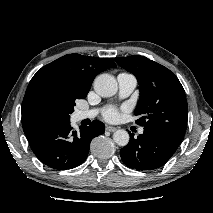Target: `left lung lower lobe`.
<instances>
[{"instance_id":"left-lung-lower-lobe-1","label":"left lung lower lobe","mask_w":213,"mask_h":213,"mask_svg":"<svg viewBox=\"0 0 213 213\" xmlns=\"http://www.w3.org/2000/svg\"><path fill=\"white\" fill-rule=\"evenodd\" d=\"M182 139L173 133L144 128L137 138L130 133V141L120 150V156L126 166L137 171L157 169L175 153Z\"/></svg>"}]
</instances>
